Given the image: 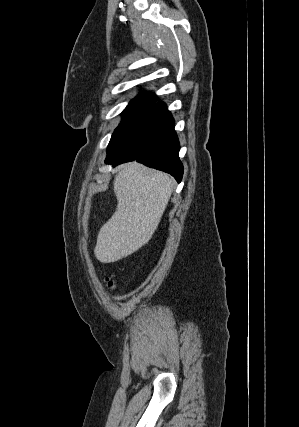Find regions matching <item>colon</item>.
I'll list each match as a JSON object with an SVG mask.
<instances>
[{
  "instance_id": "obj_1",
  "label": "colon",
  "mask_w": 299,
  "mask_h": 427,
  "mask_svg": "<svg viewBox=\"0 0 299 427\" xmlns=\"http://www.w3.org/2000/svg\"><path fill=\"white\" fill-rule=\"evenodd\" d=\"M109 285H111V286H112V285H113V282H112V281H109Z\"/></svg>"
}]
</instances>
